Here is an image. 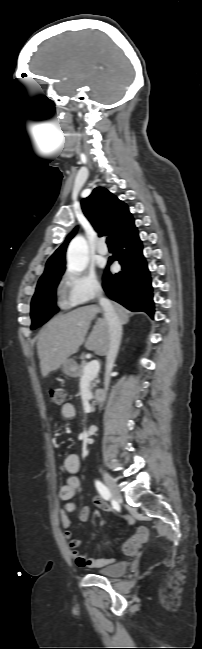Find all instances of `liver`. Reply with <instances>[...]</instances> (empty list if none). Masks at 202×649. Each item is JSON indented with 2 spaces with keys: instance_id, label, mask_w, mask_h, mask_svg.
I'll return each mask as SVG.
<instances>
[{
  "instance_id": "6515ba94",
  "label": "liver",
  "mask_w": 202,
  "mask_h": 649,
  "mask_svg": "<svg viewBox=\"0 0 202 649\" xmlns=\"http://www.w3.org/2000/svg\"><path fill=\"white\" fill-rule=\"evenodd\" d=\"M114 308L122 324L127 323L129 311L119 304H115ZM103 312V308L95 305L80 307L65 314H58L44 326L38 335L37 343L43 377L60 368L67 358L79 350L85 341L91 321ZM109 338V326L104 313L93 327L85 347L99 356H105Z\"/></svg>"
}]
</instances>
